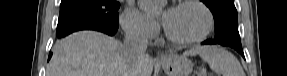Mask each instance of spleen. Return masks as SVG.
Here are the masks:
<instances>
[{
	"label": "spleen",
	"instance_id": "spleen-1",
	"mask_svg": "<svg viewBox=\"0 0 287 76\" xmlns=\"http://www.w3.org/2000/svg\"><path fill=\"white\" fill-rule=\"evenodd\" d=\"M186 56L199 55L218 76H245L238 59L229 51L217 46L195 47Z\"/></svg>",
	"mask_w": 287,
	"mask_h": 76
}]
</instances>
